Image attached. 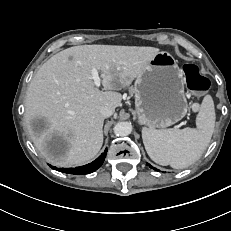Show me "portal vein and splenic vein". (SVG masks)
I'll use <instances>...</instances> for the list:
<instances>
[{"mask_svg": "<svg viewBox=\"0 0 231 231\" xmlns=\"http://www.w3.org/2000/svg\"><path fill=\"white\" fill-rule=\"evenodd\" d=\"M91 78L94 81L96 87H99L101 85V79L99 77L97 69L92 70Z\"/></svg>", "mask_w": 231, "mask_h": 231, "instance_id": "18ae733b", "label": "portal vein and splenic vein"}]
</instances>
